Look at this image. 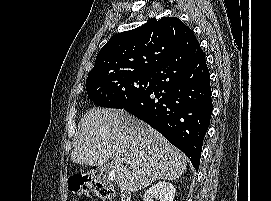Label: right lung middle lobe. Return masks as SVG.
Instances as JSON below:
<instances>
[{
	"label": "right lung middle lobe",
	"mask_w": 271,
	"mask_h": 201,
	"mask_svg": "<svg viewBox=\"0 0 271 201\" xmlns=\"http://www.w3.org/2000/svg\"><path fill=\"white\" fill-rule=\"evenodd\" d=\"M153 80V73L101 75L87 78L86 89L90 100L97 106L120 108L151 88Z\"/></svg>",
	"instance_id": "1"
}]
</instances>
